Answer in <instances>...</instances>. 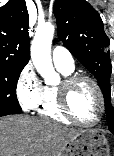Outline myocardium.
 I'll list each match as a JSON object with an SVG mask.
<instances>
[{
    "label": "myocardium",
    "mask_w": 114,
    "mask_h": 156,
    "mask_svg": "<svg viewBox=\"0 0 114 156\" xmlns=\"http://www.w3.org/2000/svg\"><path fill=\"white\" fill-rule=\"evenodd\" d=\"M81 81L89 82L95 89L97 97H98V114L93 121L84 122L77 118L73 113L70 107V94L75 87ZM59 91V106L62 113L67 117L71 122L83 126V127H92L96 125L102 118V114L104 112L105 101L103 92L99 83L91 76L86 74H72L64 78L60 86L58 87Z\"/></svg>",
    "instance_id": "obj_1"
}]
</instances>
